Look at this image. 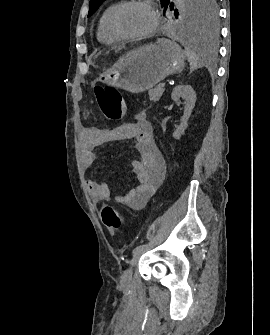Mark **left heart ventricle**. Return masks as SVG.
<instances>
[{"instance_id":"1","label":"left heart ventricle","mask_w":270,"mask_h":335,"mask_svg":"<svg viewBox=\"0 0 270 335\" xmlns=\"http://www.w3.org/2000/svg\"><path fill=\"white\" fill-rule=\"evenodd\" d=\"M116 22L118 27L127 33L141 34L151 28L153 19L141 6L128 5L119 13ZM148 52L159 51L151 50Z\"/></svg>"}]
</instances>
